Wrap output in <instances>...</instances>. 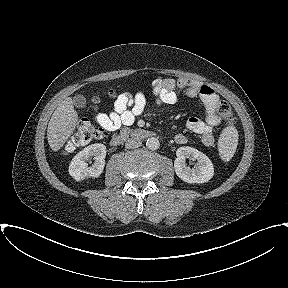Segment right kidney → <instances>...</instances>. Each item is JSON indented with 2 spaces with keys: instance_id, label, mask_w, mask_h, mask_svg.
Instances as JSON below:
<instances>
[{
  "instance_id": "ca27d5eb",
  "label": "right kidney",
  "mask_w": 288,
  "mask_h": 288,
  "mask_svg": "<svg viewBox=\"0 0 288 288\" xmlns=\"http://www.w3.org/2000/svg\"><path fill=\"white\" fill-rule=\"evenodd\" d=\"M94 156V163L88 166V159ZM106 146L95 143L85 147L72 159L69 166V174L81 181L87 177H99L105 166Z\"/></svg>"
}]
</instances>
